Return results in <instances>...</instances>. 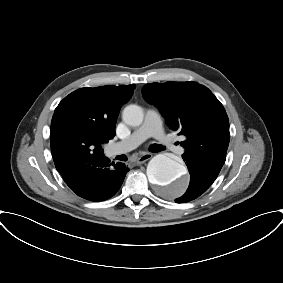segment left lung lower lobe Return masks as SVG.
<instances>
[{"instance_id":"1","label":"left lung lower lobe","mask_w":283,"mask_h":283,"mask_svg":"<svg viewBox=\"0 0 283 283\" xmlns=\"http://www.w3.org/2000/svg\"><path fill=\"white\" fill-rule=\"evenodd\" d=\"M186 165L191 175L190 184L186 193L182 197L175 199L177 203L188 202L199 197L211 186L218 176L217 174L202 170L190 162H186Z\"/></svg>"}]
</instances>
